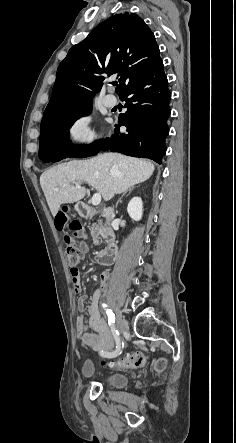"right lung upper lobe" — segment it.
Listing matches in <instances>:
<instances>
[{"label":"right lung upper lobe","instance_id":"right-lung-upper-lobe-1","mask_svg":"<svg viewBox=\"0 0 236 443\" xmlns=\"http://www.w3.org/2000/svg\"><path fill=\"white\" fill-rule=\"evenodd\" d=\"M154 34L136 14H116L74 45L60 63L43 119L92 103L106 76L118 74L123 89L160 60Z\"/></svg>","mask_w":236,"mask_h":443}]
</instances>
